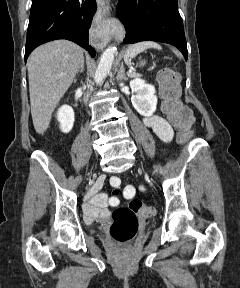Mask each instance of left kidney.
Returning <instances> with one entry per match:
<instances>
[{
    "label": "left kidney",
    "instance_id": "left-kidney-1",
    "mask_svg": "<svg viewBox=\"0 0 240 288\" xmlns=\"http://www.w3.org/2000/svg\"><path fill=\"white\" fill-rule=\"evenodd\" d=\"M132 90L131 102L136 111L142 116H152L156 111L157 96L153 85L136 78L130 81Z\"/></svg>",
    "mask_w": 240,
    "mask_h": 288
}]
</instances>
